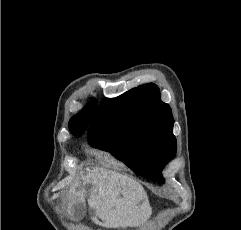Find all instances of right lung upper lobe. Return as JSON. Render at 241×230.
I'll return each instance as SVG.
<instances>
[{
	"label": "right lung upper lobe",
	"instance_id": "1",
	"mask_svg": "<svg viewBox=\"0 0 241 230\" xmlns=\"http://www.w3.org/2000/svg\"><path fill=\"white\" fill-rule=\"evenodd\" d=\"M96 110L97 100H92L81 112L70 119L69 128L71 132L85 131L88 124L93 120Z\"/></svg>",
	"mask_w": 241,
	"mask_h": 230
}]
</instances>
